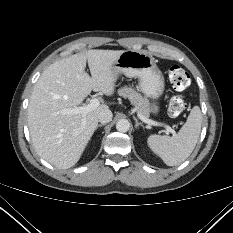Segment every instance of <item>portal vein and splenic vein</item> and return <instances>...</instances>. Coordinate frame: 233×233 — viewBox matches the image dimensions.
Segmentation results:
<instances>
[{"label": "portal vein and splenic vein", "instance_id": "1", "mask_svg": "<svg viewBox=\"0 0 233 233\" xmlns=\"http://www.w3.org/2000/svg\"><path fill=\"white\" fill-rule=\"evenodd\" d=\"M99 105H100L99 100L97 98H92L90 100L89 104L83 105L81 107H76V108L70 109L67 111V113H69V114H80L81 113V114L85 115L88 112H90L91 110H93L94 108L98 107ZM137 116L140 120H142L144 123H147L149 125H154V126L160 125L157 122L148 119L147 117L143 116L140 113H138ZM165 130L167 133H172L173 135L176 134V132L170 126L166 125Z\"/></svg>", "mask_w": 233, "mask_h": 233}]
</instances>
